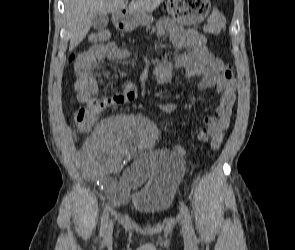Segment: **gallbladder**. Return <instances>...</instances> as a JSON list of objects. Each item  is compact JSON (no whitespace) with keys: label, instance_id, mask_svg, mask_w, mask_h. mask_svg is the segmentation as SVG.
<instances>
[{"label":"gallbladder","instance_id":"gallbladder-1","mask_svg":"<svg viewBox=\"0 0 295 250\" xmlns=\"http://www.w3.org/2000/svg\"><path fill=\"white\" fill-rule=\"evenodd\" d=\"M109 23V17L107 14H98L92 18V27L96 30H103Z\"/></svg>","mask_w":295,"mask_h":250}]
</instances>
